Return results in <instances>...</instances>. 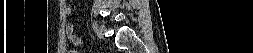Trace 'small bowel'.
I'll list each match as a JSON object with an SVG mask.
<instances>
[{
	"mask_svg": "<svg viewBox=\"0 0 253 53\" xmlns=\"http://www.w3.org/2000/svg\"><path fill=\"white\" fill-rule=\"evenodd\" d=\"M66 34H67L68 40L71 43H73V44H80L81 43L80 39L74 33L73 26L69 23L66 24Z\"/></svg>",
	"mask_w": 253,
	"mask_h": 53,
	"instance_id": "obj_1",
	"label": "small bowel"
}]
</instances>
